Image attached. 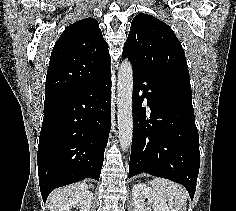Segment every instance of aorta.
<instances>
[{
    "mask_svg": "<svg viewBox=\"0 0 236 211\" xmlns=\"http://www.w3.org/2000/svg\"><path fill=\"white\" fill-rule=\"evenodd\" d=\"M133 68L128 60L121 63L117 81V118L119 144L123 151L130 148L133 139Z\"/></svg>",
    "mask_w": 236,
    "mask_h": 211,
    "instance_id": "762f6f07",
    "label": "aorta"
}]
</instances>
